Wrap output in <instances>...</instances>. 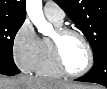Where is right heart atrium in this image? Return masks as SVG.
I'll return each instance as SVG.
<instances>
[{
    "mask_svg": "<svg viewBox=\"0 0 107 89\" xmlns=\"http://www.w3.org/2000/svg\"><path fill=\"white\" fill-rule=\"evenodd\" d=\"M40 37L32 24L26 20L19 27L12 42L13 58L24 72L34 71L39 57Z\"/></svg>",
    "mask_w": 107,
    "mask_h": 89,
    "instance_id": "d8ad5b80",
    "label": "right heart atrium"
}]
</instances>
